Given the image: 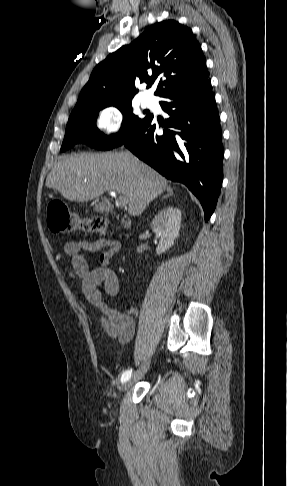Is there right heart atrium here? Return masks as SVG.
I'll return each instance as SVG.
<instances>
[{
	"label": "right heart atrium",
	"instance_id": "right-heart-atrium-1",
	"mask_svg": "<svg viewBox=\"0 0 287 486\" xmlns=\"http://www.w3.org/2000/svg\"><path fill=\"white\" fill-rule=\"evenodd\" d=\"M95 126L105 136L113 137L123 127V114L115 106H106L97 113Z\"/></svg>",
	"mask_w": 287,
	"mask_h": 486
}]
</instances>
